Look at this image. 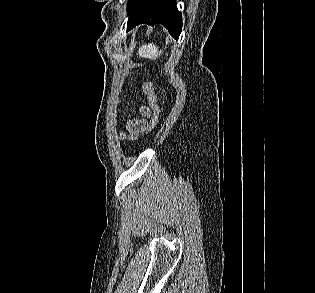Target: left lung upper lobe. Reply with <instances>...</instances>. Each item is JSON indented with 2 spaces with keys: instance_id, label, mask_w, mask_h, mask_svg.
<instances>
[{
  "instance_id": "obj_1",
  "label": "left lung upper lobe",
  "mask_w": 315,
  "mask_h": 293,
  "mask_svg": "<svg viewBox=\"0 0 315 293\" xmlns=\"http://www.w3.org/2000/svg\"><path fill=\"white\" fill-rule=\"evenodd\" d=\"M140 0H129L128 1V7L127 12L129 13L138 3Z\"/></svg>"
}]
</instances>
